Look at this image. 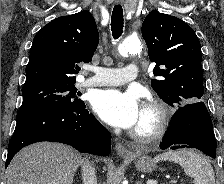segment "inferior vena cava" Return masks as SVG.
<instances>
[{"label": "inferior vena cava", "instance_id": "1", "mask_svg": "<svg viewBox=\"0 0 224 184\" xmlns=\"http://www.w3.org/2000/svg\"><path fill=\"white\" fill-rule=\"evenodd\" d=\"M83 184H97L95 168L87 161H81Z\"/></svg>", "mask_w": 224, "mask_h": 184}]
</instances>
